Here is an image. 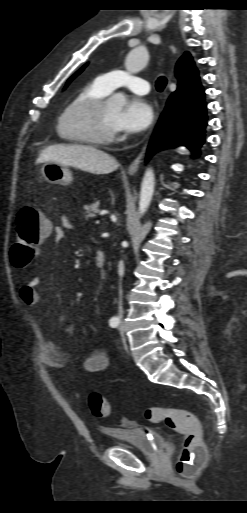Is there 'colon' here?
Masks as SVG:
<instances>
[{"label":"colon","instance_id":"5ec220e1","mask_svg":"<svg viewBox=\"0 0 247 513\" xmlns=\"http://www.w3.org/2000/svg\"><path fill=\"white\" fill-rule=\"evenodd\" d=\"M51 227L50 221L35 202L27 204L20 210L16 222V235L10 250V261L16 270L29 265L35 256L36 246L47 237ZM88 405L96 417L106 418L111 414L110 404L99 393L94 392L89 395ZM144 417L153 423H163L184 435L175 470L181 476H195L207 456L201 425L197 417L186 410L157 406L147 407Z\"/></svg>","mask_w":247,"mask_h":513}]
</instances>
